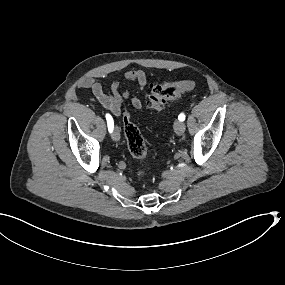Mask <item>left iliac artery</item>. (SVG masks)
Instances as JSON below:
<instances>
[{"label": "left iliac artery", "instance_id": "1", "mask_svg": "<svg viewBox=\"0 0 285 285\" xmlns=\"http://www.w3.org/2000/svg\"><path fill=\"white\" fill-rule=\"evenodd\" d=\"M178 119L180 121H184L185 120V115L183 113H181L179 116H178Z\"/></svg>", "mask_w": 285, "mask_h": 285}]
</instances>
